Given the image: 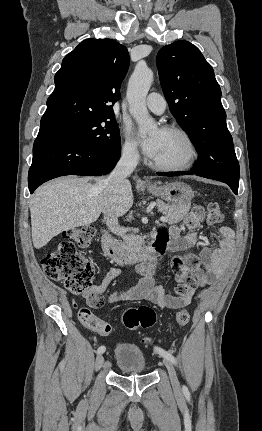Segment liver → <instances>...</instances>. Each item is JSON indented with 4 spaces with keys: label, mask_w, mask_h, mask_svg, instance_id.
<instances>
[{
    "label": "liver",
    "mask_w": 262,
    "mask_h": 431,
    "mask_svg": "<svg viewBox=\"0 0 262 431\" xmlns=\"http://www.w3.org/2000/svg\"><path fill=\"white\" fill-rule=\"evenodd\" d=\"M104 180L100 177H63L36 190L30 201L34 247L42 248L64 230L95 222L109 198ZM132 205V187L127 180L115 197L116 215L125 214Z\"/></svg>",
    "instance_id": "obj_1"
}]
</instances>
